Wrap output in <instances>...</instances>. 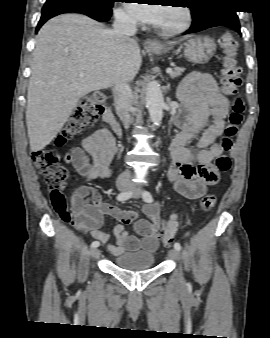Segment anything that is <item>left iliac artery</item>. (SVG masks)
<instances>
[{"mask_svg":"<svg viewBox=\"0 0 270 338\" xmlns=\"http://www.w3.org/2000/svg\"><path fill=\"white\" fill-rule=\"evenodd\" d=\"M143 200L147 203H151L153 201V197H152L151 193L148 192V191H144L143 192ZM174 249H176L177 251H180L181 250L180 243H178V242L174 243Z\"/></svg>","mask_w":270,"mask_h":338,"instance_id":"obj_1","label":"left iliac artery"}]
</instances>
